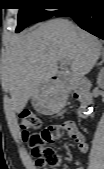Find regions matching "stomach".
I'll return each instance as SVG.
<instances>
[{
	"instance_id": "stomach-1",
	"label": "stomach",
	"mask_w": 104,
	"mask_h": 169,
	"mask_svg": "<svg viewBox=\"0 0 104 169\" xmlns=\"http://www.w3.org/2000/svg\"><path fill=\"white\" fill-rule=\"evenodd\" d=\"M31 101L34 108L43 114L56 112L61 106L59 95L50 82L41 86Z\"/></svg>"
}]
</instances>
